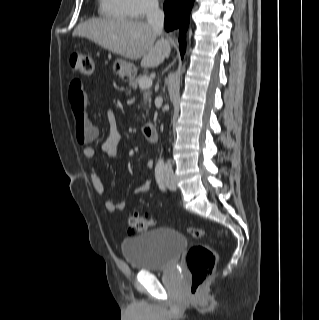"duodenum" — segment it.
Wrapping results in <instances>:
<instances>
[{"instance_id": "410a0bca", "label": "duodenum", "mask_w": 319, "mask_h": 320, "mask_svg": "<svg viewBox=\"0 0 319 320\" xmlns=\"http://www.w3.org/2000/svg\"><path fill=\"white\" fill-rule=\"evenodd\" d=\"M143 134L149 142H156L158 139L156 126L152 123L143 126Z\"/></svg>"}]
</instances>
